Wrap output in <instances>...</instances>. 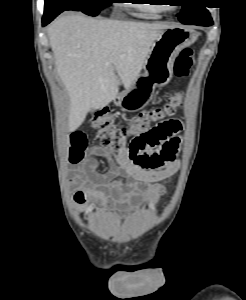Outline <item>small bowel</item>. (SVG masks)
I'll return each mask as SVG.
<instances>
[{
	"label": "small bowel",
	"instance_id": "small-bowel-1",
	"mask_svg": "<svg viewBox=\"0 0 246 300\" xmlns=\"http://www.w3.org/2000/svg\"><path fill=\"white\" fill-rule=\"evenodd\" d=\"M179 145L180 138L176 134L171 141L152 152L162 159L156 167L141 165L138 161L140 155L132 153L128 147H122L116 153L100 146L89 147L87 157L75 163L71 170L69 183L74 190V203L78 206L89 204L97 210L104 209L108 201L121 210L140 200L155 203L165 192L162 182L180 167ZM98 157L108 163L106 173L98 172Z\"/></svg>",
	"mask_w": 246,
	"mask_h": 300
}]
</instances>
